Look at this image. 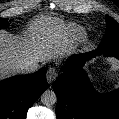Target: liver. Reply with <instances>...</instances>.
<instances>
[{
	"mask_svg": "<svg viewBox=\"0 0 119 119\" xmlns=\"http://www.w3.org/2000/svg\"><path fill=\"white\" fill-rule=\"evenodd\" d=\"M50 26L54 25L45 21L34 24L23 38L0 30V79L21 73V65L64 56L67 45L60 36L47 37Z\"/></svg>",
	"mask_w": 119,
	"mask_h": 119,
	"instance_id": "6515ba94",
	"label": "liver"
}]
</instances>
